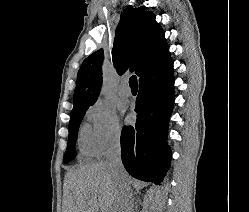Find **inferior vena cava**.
<instances>
[{"label": "inferior vena cava", "instance_id": "1", "mask_svg": "<svg viewBox=\"0 0 249 212\" xmlns=\"http://www.w3.org/2000/svg\"><path fill=\"white\" fill-rule=\"evenodd\" d=\"M106 162L114 168V184L117 188L113 212H133L131 186L121 160L120 140H115L110 144L106 152Z\"/></svg>", "mask_w": 249, "mask_h": 212}]
</instances>
